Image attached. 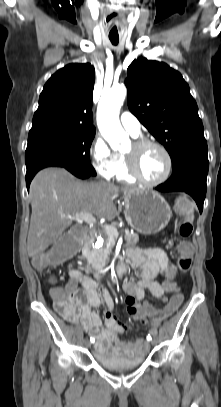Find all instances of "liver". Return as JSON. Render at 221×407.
I'll list each match as a JSON object with an SVG mask.
<instances>
[{
  "label": "liver",
  "mask_w": 221,
  "mask_h": 407,
  "mask_svg": "<svg viewBox=\"0 0 221 407\" xmlns=\"http://www.w3.org/2000/svg\"><path fill=\"white\" fill-rule=\"evenodd\" d=\"M120 188L107 182H80L63 168H46L36 174L30 185L31 219L27 238L28 255L43 253L72 224L69 216L92 213L113 220L117 213L115 199Z\"/></svg>",
  "instance_id": "obj_1"
}]
</instances>
